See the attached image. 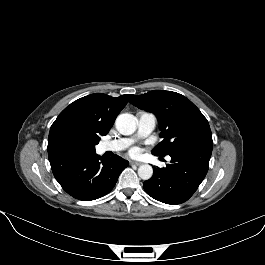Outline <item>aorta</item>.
I'll return each instance as SVG.
<instances>
[{
  "label": "aorta",
  "mask_w": 265,
  "mask_h": 265,
  "mask_svg": "<svg viewBox=\"0 0 265 265\" xmlns=\"http://www.w3.org/2000/svg\"><path fill=\"white\" fill-rule=\"evenodd\" d=\"M118 132L122 135H131L137 129V122L133 115L123 113L118 115L115 121ZM153 175V168L148 164L140 165L138 168V176L143 180H148Z\"/></svg>",
  "instance_id": "aorta-1"
}]
</instances>
